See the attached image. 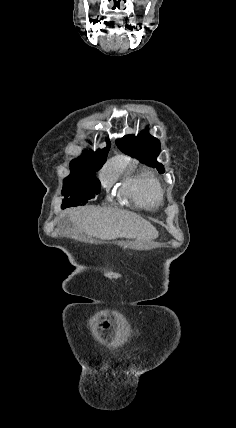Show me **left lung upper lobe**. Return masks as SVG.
Wrapping results in <instances>:
<instances>
[{
    "label": "left lung upper lobe",
    "instance_id": "left-lung-upper-lobe-1",
    "mask_svg": "<svg viewBox=\"0 0 236 428\" xmlns=\"http://www.w3.org/2000/svg\"><path fill=\"white\" fill-rule=\"evenodd\" d=\"M118 148L149 166L156 167L160 173L164 172L162 164L157 162L160 153V142L148 133L137 136L126 135L116 141Z\"/></svg>",
    "mask_w": 236,
    "mask_h": 428
}]
</instances>
